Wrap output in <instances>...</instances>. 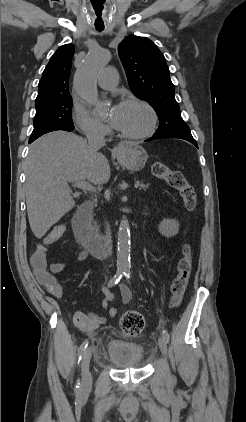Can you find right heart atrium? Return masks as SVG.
Returning <instances> with one entry per match:
<instances>
[{
	"label": "right heart atrium",
	"instance_id": "d8ad5b80",
	"mask_svg": "<svg viewBox=\"0 0 246 422\" xmlns=\"http://www.w3.org/2000/svg\"><path fill=\"white\" fill-rule=\"evenodd\" d=\"M72 117L77 128L89 138L104 137L108 133V128L102 122L95 119L82 106L73 107Z\"/></svg>",
	"mask_w": 246,
	"mask_h": 422
}]
</instances>
